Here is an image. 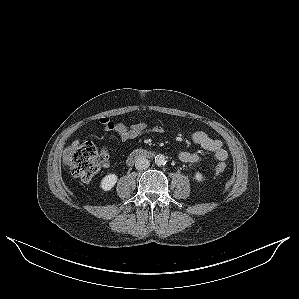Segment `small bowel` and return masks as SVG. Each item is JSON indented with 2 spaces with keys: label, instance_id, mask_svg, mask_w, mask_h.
<instances>
[{
  "label": "small bowel",
  "instance_id": "small-bowel-1",
  "mask_svg": "<svg viewBox=\"0 0 299 299\" xmlns=\"http://www.w3.org/2000/svg\"><path fill=\"white\" fill-rule=\"evenodd\" d=\"M99 122L104 130L116 133L122 141L134 139L148 133L161 134L164 132L163 127L159 125L148 127L145 122H137L126 126L121 122H114L108 117L100 118ZM191 140L204 150L213 152L215 159L218 161H225L228 158V152L220 139L211 138L203 131H195L191 134ZM78 142V140H75L73 144ZM101 152L108 157L104 165L106 167L109 164V153L106 147H102ZM178 158L184 163L196 164L201 160V155L196 152L181 151L178 153Z\"/></svg>",
  "mask_w": 299,
  "mask_h": 299
}]
</instances>
